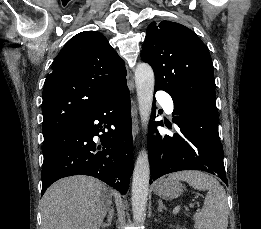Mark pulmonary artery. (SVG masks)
I'll list each match as a JSON object with an SVG mask.
<instances>
[{
  "label": "pulmonary artery",
  "instance_id": "pulmonary-artery-1",
  "mask_svg": "<svg viewBox=\"0 0 261 229\" xmlns=\"http://www.w3.org/2000/svg\"><path fill=\"white\" fill-rule=\"evenodd\" d=\"M157 93V99H161L158 100V105H162L164 114L169 115L172 118L175 114L174 105L176 102L175 100H172V96H170V91L158 89Z\"/></svg>",
  "mask_w": 261,
  "mask_h": 229
}]
</instances>
